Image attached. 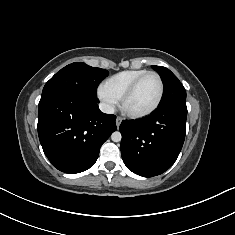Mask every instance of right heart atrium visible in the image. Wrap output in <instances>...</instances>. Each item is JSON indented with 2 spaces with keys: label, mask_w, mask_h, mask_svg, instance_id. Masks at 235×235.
<instances>
[{
  "label": "right heart atrium",
  "mask_w": 235,
  "mask_h": 235,
  "mask_svg": "<svg viewBox=\"0 0 235 235\" xmlns=\"http://www.w3.org/2000/svg\"><path fill=\"white\" fill-rule=\"evenodd\" d=\"M97 96L102 104V107L107 112H113L119 103V100L107 91L103 85L98 87Z\"/></svg>",
  "instance_id": "d8ad5b80"
}]
</instances>
